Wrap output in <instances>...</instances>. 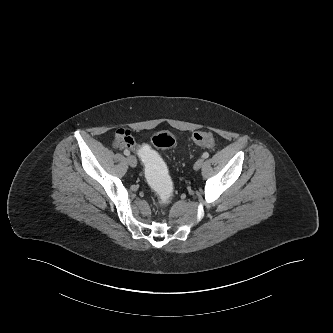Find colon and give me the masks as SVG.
<instances>
[{"label": "colon", "instance_id": "1", "mask_svg": "<svg viewBox=\"0 0 333 333\" xmlns=\"http://www.w3.org/2000/svg\"><path fill=\"white\" fill-rule=\"evenodd\" d=\"M194 144L209 148L214 144L212 133L208 131H197L191 137ZM152 145L157 149H168L175 145L176 139L170 132H159L151 139ZM142 143L137 147L136 153L144 165V177L156 191L160 200L171 203L175 199V192L168 174V167L161 152L155 148Z\"/></svg>", "mask_w": 333, "mask_h": 333}]
</instances>
